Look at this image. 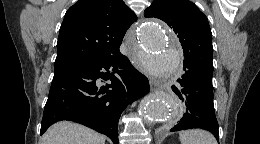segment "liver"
<instances>
[{
  "label": "liver",
  "instance_id": "liver-1",
  "mask_svg": "<svg viewBox=\"0 0 260 144\" xmlns=\"http://www.w3.org/2000/svg\"><path fill=\"white\" fill-rule=\"evenodd\" d=\"M40 144H105V137L83 125L61 121L44 133Z\"/></svg>",
  "mask_w": 260,
  "mask_h": 144
}]
</instances>
